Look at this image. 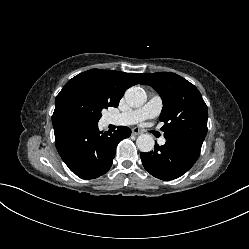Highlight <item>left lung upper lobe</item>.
<instances>
[{
    "label": "left lung upper lobe",
    "instance_id": "obj_1",
    "mask_svg": "<svg viewBox=\"0 0 249 249\" xmlns=\"http://www.w3.org/2000/svg\"><path fill=\"white\" fill-rule=\"evenodd\" d=\"M143 85H150L160 95L163 108L160 121L165 139L189 137L204 141L208 110L198 89L181 76L160 72L145 74Z\"/></svg>",
    "mask_w": 249,
    "mask_h": 249
}]
</instances>
